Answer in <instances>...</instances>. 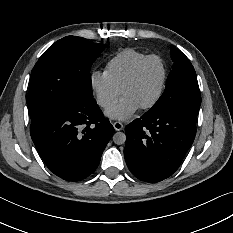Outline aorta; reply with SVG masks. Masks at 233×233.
Wrapping results in <instances>:
<instances>
[{"label": "aorta", "mask_w": 233, "mask_h": 233, "mask_svg": "<svg viewBox=\"0 0 233 233\" xmlns=\"http://www.w3.org/2000/svg\"><path fill=\"white\" fill-rule=\"evenodd\" d=\"M113 141L117 145H122L126 141V135L123 132H117L113 135Z\"/></svg>", "instance_id": "762f6f07"}]
</instances>
